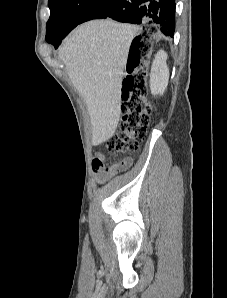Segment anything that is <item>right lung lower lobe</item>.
Returning a JSON list of instances; mask_svg holds the SVG:
<instances>
[{"instance_id":"98d812e1","label":"right lung lower lobe","mask_w":227,"mask_h":298,"mask_svg":"<svg viewBox=\"0 0 227 298\" xmlns=\"http://www.w3.org/2000/svg\"><path fill=\"white\" fill-rule=\"evenodd\" d=\"M100 18L156 26L163 34L172 37L175 30V0H101L80 23ZM68 33L53 34L46 40L57 48Z\"/></svg>"}]
</instances>
